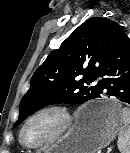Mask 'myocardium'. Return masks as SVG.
I'll return each instance as SVG.
<instances>
[{"label": "myocardium", "instance_id": "1", "mask_svg": "<svg viewBox=\"0 0 130 153\" xmlns=\"http://www.w3.org/2000/svg\"><path fill=\"white\" fill-rule=\"evenodd\" d=\"M44 115H52L57 120V127L52 134H50L44 140L38 143H28L24 140V133L27 127L38 117ZM74 121V116L70 109L64 105L59 104H49L43 107L38 108L34 112H32L23 122L20 130H19V142L20 144L28 149H39L59 140L63 137L67 131L70 129Z\"/></svg>", "mask_w": 130, "mask_h": 153}]
</instances>
